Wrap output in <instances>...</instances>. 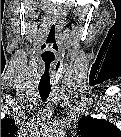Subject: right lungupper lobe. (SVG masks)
Wrapping results in <instances>:
<instances>
[{"instance_id":"right-lung-upper-lobe-1","label":"right lung upper lobe","mask_w":121,"mask_h":137,"mask_svg":"<svg viewBox=\"0 0 121 137\" xmlns=\"http://www.w3.org/2000/svg\"><path fill=\"white\" fill-rule=\"evenodd\" d=\"M15 122L13 119L5 118L1 120V134L14 133Z\"/></svg>"}]
</instances>
